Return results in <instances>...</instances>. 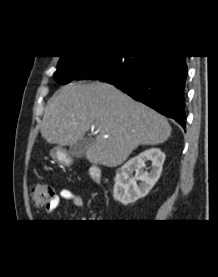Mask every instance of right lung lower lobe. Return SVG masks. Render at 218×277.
<instances>
[{"instance_id": "right-lung-lower-lobe-1", "label": "right lung lower lobe", "mask_w": 218, "mask_h": 277, "mask_svg": "<svg viewBox=\"0 0 218 277\" xmlns=\"http://www.w3.org/2000/svg\"><path fill=\"white\" fill-rule=\"evenodd\" d=\"M185 56H148L124 82H109L124 93L185 127ZM104 79L87 75L84 79Z\"/></svg>"}]
</instances>
